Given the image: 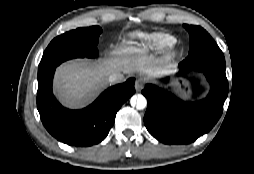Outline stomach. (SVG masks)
<instances>
[{
	"label": "stomach",
	"instance_id": "obj_1",
	"mask_svg": "<svg viewBox=\"0 0 254 174\" xmlns=\"http://www.w3.org/2000/svg\"><path fill=\"white\" fill-rule=\"evenodd\" d=\"M173 85H174L175 87H177L181 92H183V94H184L185 97L188 96V95L191 93L188 84H185V83H182V84H181L178 80H175V81L173 82ZM182 86H183V87H182ZM187 88H188V90H186Z\"/></svg>",
	"mask_w": 254,
	"mask_h": 174
}]
</instances>
